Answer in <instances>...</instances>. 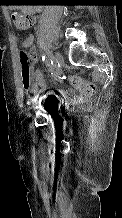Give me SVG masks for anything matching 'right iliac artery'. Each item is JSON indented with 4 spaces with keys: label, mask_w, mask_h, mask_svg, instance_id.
I'll list each match as a JSON object with an SVG mask.
<instances>
[{
    "label": "right iliac artery",
    "mask_w": 122,
    "mask_h": 218,
    "mask_svg": "<svg viewBox=\"0 0 122 218\" xmlns=\"http://www.w3.org/2000/svg\"><path fill=\"white\" fill-rule=\"evenodd\" d=\"M42 60L45 61V56L42 57ZM46 65L50 71L54 70V64H53V61L51 59H46Z\"/></svg>",
    "instance_id": "82829eb1"
}]
</instances>
